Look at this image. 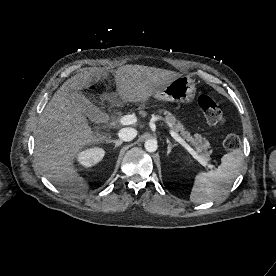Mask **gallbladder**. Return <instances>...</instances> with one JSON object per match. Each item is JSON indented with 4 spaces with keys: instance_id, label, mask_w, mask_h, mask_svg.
<instances>
[{
    "instance_id": "bac80fb5",
    "label": "gallbladder",
    "mask_w": 276,
    "mask_h": 276,
    "mask_svg": "<svg viewBox=\"0 0 276 276\" xmlns=\"http://www.w3.org/2000/svg\"><path fill=\"white\" fill-rule=\"evenodd\" d=\"M69 99L82 114L94 123H100L106 117L105 113L81 92H69Z\"/></svg>"
}]
</instances>
